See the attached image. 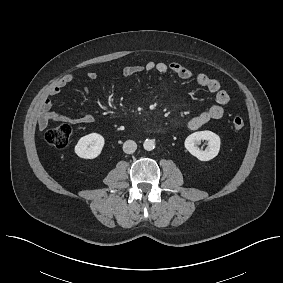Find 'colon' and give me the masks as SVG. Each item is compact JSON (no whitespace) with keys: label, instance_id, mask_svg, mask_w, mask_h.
I'll return each instance as SVG.
<instances>
[{"label":"colon","instance_id":"5ec220e1","mask_svg":"<svg viewBox=\"0 0 283 283\" xmlns=\"http://www.w3.org/2000/svg\"><path fill=\"white\" fill-rule=\"evenodd\" d=\"M231 123L236 130L242 129L245 125L244 119L239 116L234 117ZM71 134L72 129L69 124H60L49 129L45 134V138L51 146L62 149L69 144Z\"/></svg>","mask_w":283,"mask_h":283}]
</instances>
